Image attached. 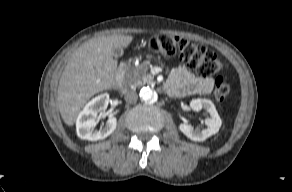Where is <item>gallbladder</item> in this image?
Returning <instances> with one entry per match:
<instances>
[{"instance_id":"1","label":"gallbladder","mask_w":292,"mask_h":192,"mask_svg":"<svg viewBox=\"0 0 292 192\" xmlns=\"http://www.w3.org/2000/svg\"><path fill=\"white\" fill-rule=\"evenodd\" d=\"M124 51L122 47H116L113 49V56L114 57H121L123 55Z\"/></svg>"}]
</instances>
